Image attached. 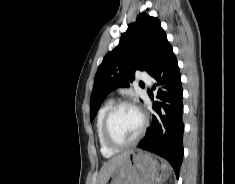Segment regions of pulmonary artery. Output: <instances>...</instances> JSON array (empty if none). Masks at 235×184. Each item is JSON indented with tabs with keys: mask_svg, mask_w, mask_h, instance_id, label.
Listing matches in <instances>:
<instances>
[{
	"mask_svg": "<svg viewBox=\"0 0 235 184\" xmlns=\"http://www.w3.org/2000/svg\"><path fill=\"white\" fill-rule=\"evenodd\" d=\"M142 78L146 81V82H148V83H151V77L149 76V75H147L146 73H143L142 74Z\"/></svg>",
	"mask_w": 235,
	"mask_h": 184,
	"instance_id": "e3ab8cb5",
	"label": "pulmonary artery"
}]
</instances>
